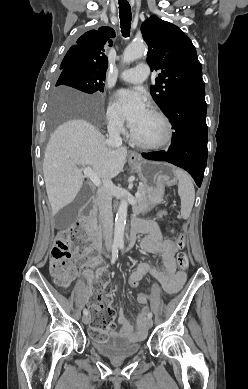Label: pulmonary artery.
Instances as JSON below:
<instances>
[{
  "label": "pulmonary artery",
  "instance_id": "e3ab8cb5",
  "mask_svg": "<svg viewBox=\"0 0 248 389\" xmlns=\"http://www.w3.org/2000/svg\"><path fill=\"white\" fill-rule=\"evenodd\" d=\"M149 66L146 63H140L136 67L124 70L120 74V78L128 83H142L149 76Z\"/></svg>",
  "mask_w": 248,
  "mask_h": 389
}]
</instances>
